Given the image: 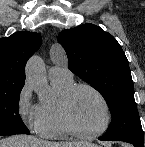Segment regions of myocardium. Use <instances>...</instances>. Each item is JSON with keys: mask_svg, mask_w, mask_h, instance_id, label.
<instances>
[{"mask_svg": "<svg viewBox=\"0 0 145 147\" xmlns=\"http://www.w3.org/2000/svg\"><path fill=\"white\" fill-rule=\"evenodd\" d=\"M81 90H89L92 93H94L99 98V100L102 102L105 108V113H106L105 123L102 126V128H100L99 130L92 131V132L84 131L77 125V123L75 122L73 118L72 109H71L72 102L75 96ZM60 111H61L63 121L68 127V129L74 135L81 137V138H85V139L95 138L105 133L108 130L111 124V121H112V110H111L110 104L108 100L106 99V97L96 87L90 84H85V83L75 84L69 89V91L63 96V98L60 101Z\"/></svg>", "mask_w": 145, "mask_h": 147, "instance_id": "myocardium-1", "label": "myocardium"}]
</instances>
